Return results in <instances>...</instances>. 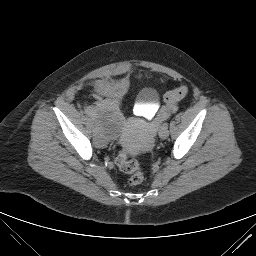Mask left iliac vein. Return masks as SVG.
Returning a JSON list of instances; mask_svg holds the SVG:
<instances>
[{
  "mask_svg": "<svg viewBox=\"0 0 256 256\" xmlns=\"http://www.w3.org/2000/svg\"><path fill=\"white\" fill-rule=\"evenodd\" d=\"M158 133L161 139H166L169 136L168 126L162 125Z\"/></svg>",
  "mask_w": 256,
  "mask_h": 256,
  "instance_id": "left-iliac-vein-1",
  "label": "left iliac vein"
}]
</instances>
